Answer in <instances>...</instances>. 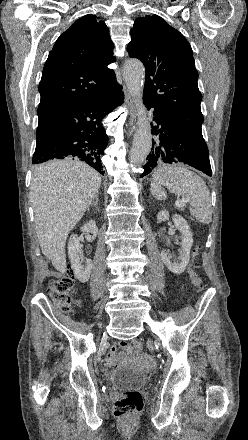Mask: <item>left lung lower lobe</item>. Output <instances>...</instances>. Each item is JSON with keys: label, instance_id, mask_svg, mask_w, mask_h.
Listing matches in <instances>:
<instances>
[{"label": "left lung lower lobe", "instance_id": "1", "mask_svg": "<svg viewBox=\"0 0 248 440\" xmlns=\"http://www.w3.org/2000/svg\"><path fill=\"white\" fill-rule=\"evenodd\" d=\"M144 102L148 109L153 107L146 98H144ZM154 121L157 125L153 127V134L160 135V142L155 147L153 141L141 177L149 174L163 163L178 162L188 164L208 176L212 175L208 148L202 132L194 131L157 111H154Z\"/></svg>", "mask_w": 248, "mask_h": 440}]
</instances>
